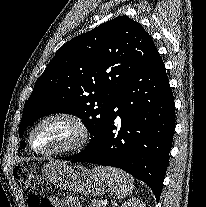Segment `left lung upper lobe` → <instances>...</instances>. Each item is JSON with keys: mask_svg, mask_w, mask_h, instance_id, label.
<instances>
[{"mask_svg": "<svg viewBox=\"0 0 206 207\" xmlns=\"http://www.w3.org/2000/svg\"><path fill=\"white\" fill-rule=\"evenodd\" d=\"M155 50L150 35L128 17L71 39L36 81L24 105L19 135L42 116L68 113L83 119L92 135L85 149L91 148L111 102Z\"/></svg>", "mask_w": 206, "mask_h": 207, "instance_id": "5c2ea615", "label": "left lung upper lobe"}]
</instances>
